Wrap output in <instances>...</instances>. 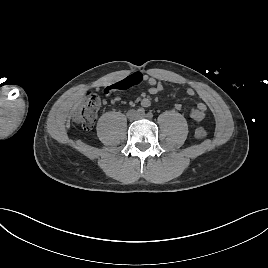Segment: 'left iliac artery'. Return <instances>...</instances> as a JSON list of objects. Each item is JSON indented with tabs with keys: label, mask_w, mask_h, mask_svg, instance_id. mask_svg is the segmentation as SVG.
Segmentation results:
<instances>
[{
	"label": "left iliac artery",
	"mask_w": 268,
	"mask_h": 268,
	"mask_svg": "<svg viewBox=\"0 0 268 268\" xmlns=\"http://www.w3.org/2000/svg\"><path fill=\"white\" fill-rule=\"evenodd\" d=\"M147 117H148L149 119H151V118L153 117V113H152V112H148V113H147Z\"/></svg>",
	"instance_id": "left-iliac-artery-1"
}]
</instances>
